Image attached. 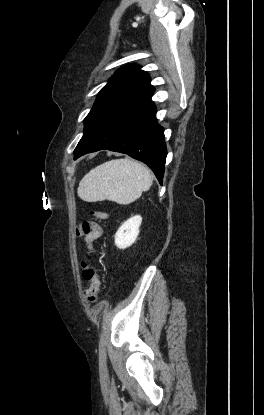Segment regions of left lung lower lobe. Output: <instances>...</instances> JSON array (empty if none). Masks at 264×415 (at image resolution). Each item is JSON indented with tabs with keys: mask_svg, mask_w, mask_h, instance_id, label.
<instances>
[{
	"mask_svg": "<svg viewBox=\"0 0 264 415\" xmlns=\"http://www.w3.org/2000/svg\"><path fill=\"white\" fill-rule=\"evenodd\" d=\"M153 87L117 103L103 113L77 149L74 159L108 149L128 154L147 164L160 184L167 156L164 130L151 101Z\"/></svg>",
	"mask_w": 264,
	"mask_h": 415,
	"instance_id": "0a47b994",
	"label": "left lung lower lobe"
}]
</instances>
